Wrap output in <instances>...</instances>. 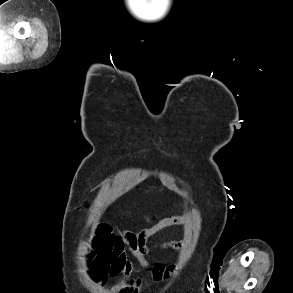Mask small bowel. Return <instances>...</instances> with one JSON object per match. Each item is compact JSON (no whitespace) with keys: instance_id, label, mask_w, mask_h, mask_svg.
I'll return each mask as SVG.
<instances>
[{"instance_id":"obj_1","label":"small bowel","mask_w":293,"mask_h":293,"mask_svg":"<svg viewBox=\"0 0 293 293\" xmlns=\"http://www.w3.org/2000/svg\"><path fill=\"white\" fill-rule=\"evenodd\" d=\"M180 223L179 219L169 218L138 232L122 231L117 234L112 233L108 227H100L96 234L88 239V251L84 257L87 273L98 284L105 283L110 276H121L116 284L117 291L119 293H138L145 283L140 277L131 276L132 266L125 248L127 243L140 266L148 269L155 281H165L174 272L175 266H166L160 262L150 263L147 255L155 250L181 251L182 243L170 240L150 247L148 240L157 232Z\"/></svg>"}]
</instances>
